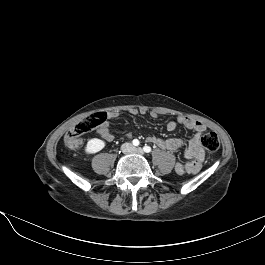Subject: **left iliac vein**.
Segmentation results:
<instances>
[{
  "mask_svg": "<svg viewBox=\"0 0 265 265\" xmlns=\"http://www.w3.org/2000/svg\"><path fill=\"white\" fill-rule=\"evenodd\" d=\"M133 152L141 154V155L143 154V150L141 148H139V147L133 148Z\"/></svg>",
  "mask_w": 265,
  "mask_h": 265,
  "instance_id": "obj_1",
  "label": "left iliac vein"
}]
</instances>
